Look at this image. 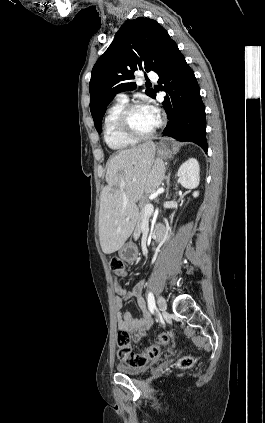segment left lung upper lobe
Instances as JSON below:
<instances>
[{
  "label": "left lung upper lobe",
  "instance_id": "1",
  "mask_svg": "<svg viewBox=\"0 0 265 423\" xmlns=\"http://www.w3.org/2000/svg\"><path fill=\"white\" fill-rule=\"evenodd\" d=\"M171 40L167 31L155 20L137 18L125 22L115 39L93 67L89 85L90 111L98 133L102 118L113 97L133 90L134 72H157L164 59L165 48ZM146 94L153 98V89Z\"/></svg>",
  "mask_w": 265,
  "mask_h": 423
}]
</instances>
